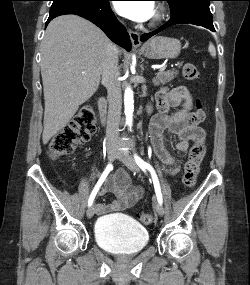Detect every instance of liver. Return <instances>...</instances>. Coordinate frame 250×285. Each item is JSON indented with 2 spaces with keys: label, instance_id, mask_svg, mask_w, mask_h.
<instances>
[{
  "label": "liver",
  "instance_id": "obj_1",
  "mask_svg": "<svg viewBox=\"0 0 250 285\" xmlns=\"http://www.w3.org/2000/svg\"><path fill=\"white\" fill-rule=\"evenodd\" d=\"M113 46L98 27L76 15L57 17L48 25L40 64L45 100L44 144L97 91L101 63Z\"/></svg>",
  "mask_w": 250,
  "mask_h": 285
}]
</instances>
